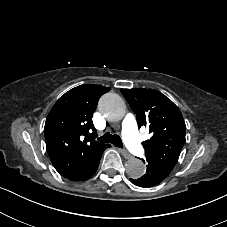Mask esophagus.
Instances as JSON below:
<instances>
[{"instance_id":"34e87169","label":"esophagus","mask_w":227,"mask_h":227,"mask_svg":"<svg viewBox=\"0 0 227 227\" xmlns=\"http://www.w3.org/2000/svg\"><path fill=\"white\" fill-rule=\"evenodd\" d=\"M125 159H131L133 156L126 149H119Z\"/></svg>"}]
</instances>
